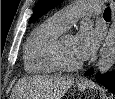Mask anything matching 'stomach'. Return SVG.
<instances>
[{"mask_svg":"<svg viewBox=\"0 0 115 99\" xmlns=\"http://www.w3.org/2000/svg\"><path fill=\"white\" fill-rule=\"evenodd\" d=\"M86 88H87V85H78V89H79L80 91H85Z\"/></svg>","mask_w":115,"mask_h":99,"instance_id":"1","label":"stomach"}]
</instances>
